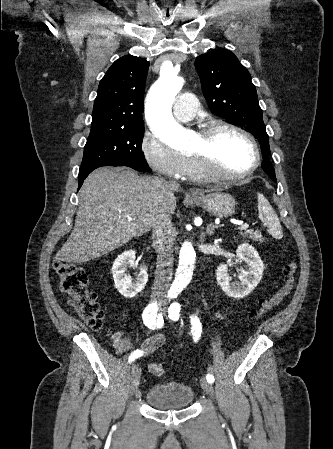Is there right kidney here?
<instances>
[{
	"label": "right kidney",
	"instance_id": "1",
	"mask_svg": "<svg viewBox=\"0 0 333 449\" xmlns=\"http://www.w3.org/2000/svg\"><path fill=\"white\" fill-rule=\"evenodd\" d=\"M128 265L137 266L133 250L125 251L117 257L112 266V274L117 291L125 298H133L144 289L148 281V273L145 268H141L136 279L132 281L126 272Z\"/></svg>",
	"mask_w": 333,
	"mask_h": 449
}]
</instances>
